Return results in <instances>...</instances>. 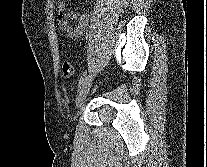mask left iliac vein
I'll return each mask as SVG.
<instances>
[{
	"instance_id": "left-iliac-vein-1",
	"label": "left iliac vein",
	"mask_w": 207,
	"mask_h": 167,
	"mask_svg": "<svg viewBox=\"0 0 207 167\" xmlns=\"http://www.w3.org/2000/svg\"><path fill=\"white\" fill-rule=\"evenodd\" d=\"M92 77H86L84 82L81 84L78 89L77 97H76V107L79 108L83 104L89 89L91 87Z\"/></svg>"
}]
</instances>
